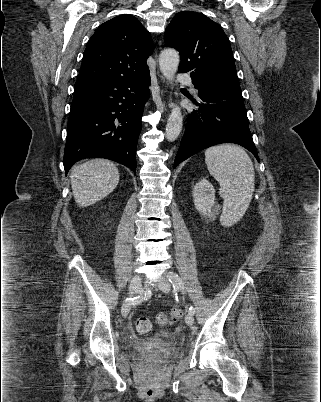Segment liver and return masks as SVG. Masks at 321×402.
<instances>
[{"instance_id":"6515ba94","label":"liver","mask_w":321,"mask_h":402,"mask_svg":"<svg viewBox=\"0 0 321 402\" xmlns=\"http://www.w3.org/2000/svg\"><path fill=\"white\" fill-rule=\"evenodd\" d=\"M71 187L76 203L87 207L109 195L118 185L119 171L106 159H93L71 172Z\"/></svg>"}]
</instances>
